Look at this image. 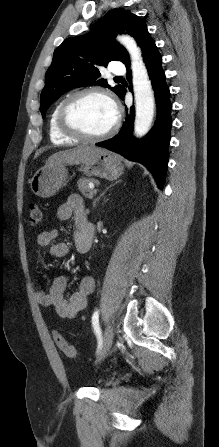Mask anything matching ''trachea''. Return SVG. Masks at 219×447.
I'll use <instances>...</instances> for the list:
<instances>
[{"label": "trachea", "instance_id": "1", "mask_svg": "<svg viewBox=\"0 0 219 447\" xmlns=\"http://www.w3.org/2000/svg\"><path fill=\"white\" fill-rule=\"evenodd\" d=\"M115 79H121V77H120V76H118V77H115Z\"/></svg>", "mask_w": 219, "mask_h": 447}]
</instances>
